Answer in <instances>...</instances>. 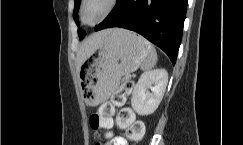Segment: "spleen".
Wrapping results in <instances>:
<instances>
[{"label": "spleen", "instance_id": "3e777b00", "mask_svg": "<svg viewBox=\"0 0 243 145\" xmlns=\"http://www.w3.org/2000/svg\"><path fill=\"white\" fill-rule=\"evenodd\" d=\"M146 43H147L149 52H148L147 59L144 60V62L141 64V70H143V71H149L157 63V53H156L155 48L152 45H150L147 41H146Z\"/></svg>", "mask_w": 243, "mask_h": 145}]
</instances>
